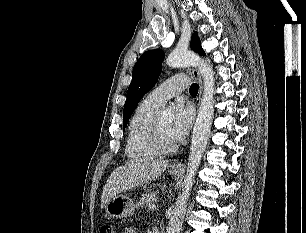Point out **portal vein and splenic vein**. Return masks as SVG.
Returning a JSON list of instances; mask_svg holds the SVG:
<instances>
[{
    "mask_svg": "<svg viewBox=\"0 0 306 233\" xmlns=\"http://www.w3.org/2000/svg\"><path fill=\"white\" fill-rule=\"evenodd\" d=\"M149 210H154L156 208L155 204H149L148 205Z\"/></svg>",
    "mask_w": 306,
    "mask_h": 233,
    "instance_id": "1",
    "label": "portal vein and splenic vein"
}]
</instances>
